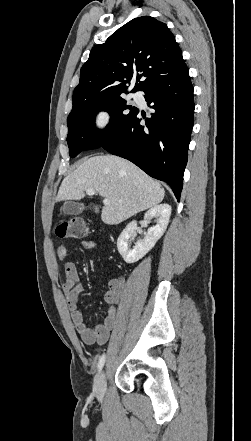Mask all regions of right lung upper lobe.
<instances>
[{
    "mask_svg": "<svg viewBox=\"0 0 251 441\" xmlns=\"http://www.w3.org/2000/svg\"><path fill=\"white\" fill-rule=\"evenodd\" d=\"M183 66L181 49L167 25L150 16L135 18L91 50L73 103L122 96L134 77L139 83L132 92L143 91Z\"/></svg>",
    "mask_w": 251,
    "mask_h": 441,
    "instance_id": "1",
    "label": "right lung upper lobe"
}]
</instances>
